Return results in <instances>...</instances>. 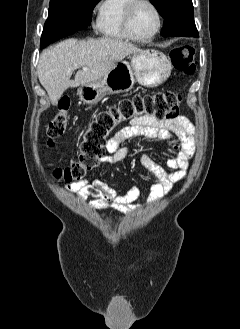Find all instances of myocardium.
Instances as JSON below:
<instances>
[{
  "instance_id": "obj_1",
  "label": "myocardium",
  "mask_w": 240,
  "mask_h": 329,
  "mask_svg": "<svg viewBox=\"0 0 240 329\" xmlns=\"http://www.w3.org/2000/svg\"><path fill=\"white\" fill-rule=\"evenodd\" d=\"M140 4H146V5L150 6L152 8V10L154 11L156 19H157V25H156L155 30L149 36H146V37H140V36L135 35L131 28V18H132L134 9L136 6H138ZM162 24H163L162 13H161L160 9L158 8V6L152 0H131V2L126 7V10L124 13V18H123V28H124L126 35L134 41L147 42V41L154 39L157 36V34L160 32V30L162 28Z\"/></svg>"
}]
</instances>
